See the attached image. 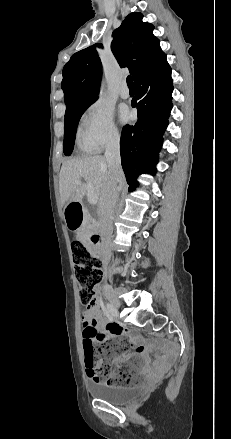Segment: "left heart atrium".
<instances>
[{
	"mask_svg": "<svg viewBox=\"0 0 231 439\" xmlns=\"http://www.w3.org/2000/svg\"><path fill=\"white\" fill-rule=\"evenodd\" d=\"M130 118V114L128 113V111H122L121 113V119L123 121L128 120Z\"/></svg>",
	"mask_w": 231,
	"mask_h": 439,
	"instance_id": "obj_1",
	"label": "left heart atrium"
}]
</instances>
